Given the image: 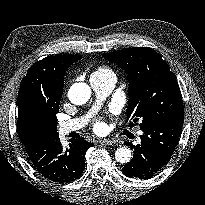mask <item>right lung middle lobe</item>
<instances>
[{
	"mask_svg": "<svg viewBox=\"0 0 205 205\" xmlns=\"http://www.w3.org/2000/svg\"><path fill=\"white\" fill-rule=\"evenodd\" d=\"M59 104L56 106H48L43 110V113L46 117L50 119V121L54 124L55 130L57 131V117L56 114L58 113Z\"/></svg>",
	"mask_w": 205,
	"mask_h": 205,
	"instance_id": "obj_1",
	"label": "right lung middle lobe"
}]
</instances>
